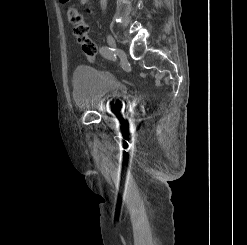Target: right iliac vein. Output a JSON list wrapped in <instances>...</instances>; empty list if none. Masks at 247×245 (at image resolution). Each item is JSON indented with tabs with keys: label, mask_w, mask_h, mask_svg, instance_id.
<instances>
[{
	"label": "right iliac vein",
	"mask_w": 247,
	"mask_h": 245,
	"mask_svg": "<svg viewBox=\"0 0 247 245\" xmlns=\"http://www.w3.org/2000/svg\"><path fill=\"white\" fill-rule=\"evenodd\" d=\"M107 42H108V45L110 46V48L116 50V52L119 54V55H122L123 54V51L120 50V49H117L116 47V42H115V39L114 37L111 35V34H108L107 35ZM116 59L114 57H110L109 58V61L110 62H114Z\"/></svg>",
	"instance_id": "63e3f726"
}]
</instances>
